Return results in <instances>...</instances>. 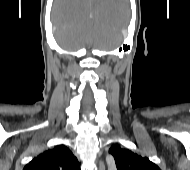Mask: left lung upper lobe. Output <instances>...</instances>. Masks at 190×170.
Segmentation results:
<instances>
[{"mask_svg": "<svg viewBox=\"0 0 190 170\" xmlns=\"http://www.w3.org/2000/svg\"><path fill=\"white\" fill-rule=\"evenodd\" d=\"M109 153L113 155L117 170H160L147 157H141L129 149L114 145Z\"/></svg>", "mask_w": 190, "mask_h": 170, "instance_id": "1", "label": "left lung upper lobe"}]
</instances>
